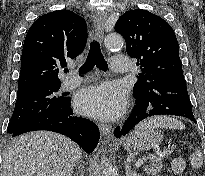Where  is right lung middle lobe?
Returning a JSON list of instances; mask_svg holds the SVG:
<instances>
[{
	"label": "right lung middle lobe",
	"mask_w": 205,
	"mask_h": 176,
	"mask_svg": "<svg viewBox=\"0 0 205 176\" xmlns=\"http://www.w3.org/2000/svg\"><path fill=\"white\" fill-rule=\"evenodd\" d=\"M59 88L60 85H57L17 96L7 132L9 134L15 132L50 105L63 103L66 97L56 94Z\"/></svg>",
	"instance_id": "right-lung-middle-lobe-1"
}]
</instances>
